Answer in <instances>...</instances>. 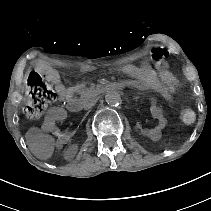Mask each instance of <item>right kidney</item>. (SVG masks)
Segmentation results:
<instances>
[{"label": "right kidney", "instance_id": "obj_1", "mask_svg": "<svg viewBox=\"0 0 211 211\" xmlns=\"http://www.w3.org/2000/svg\"><path fill=\"white\" fill-rule=\"evenodd\" d=\"M66 118V110L63 107H57L55 110H49L46 113L44 124L54 133L58 139L64 143H71L74 135L68 132L60 123Z\"/></svg>", "mask_w": 211, "mask_h": 211}]
</instances>
